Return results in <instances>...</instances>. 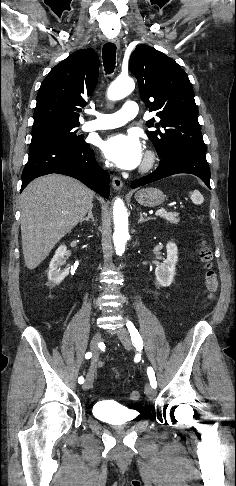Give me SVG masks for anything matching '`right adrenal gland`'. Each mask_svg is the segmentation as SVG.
<instances>
[{
    "mask_svg": "<svg viewBox=\"0 0 236 486\" xmlns=\"http://www.w3.org/2000/svg\"><path fill=\"white\" fill-rule=\"evenodd\" d=\"M92 210H93V205L90 207L89 211H88V215L86 217H84L80 222H84V221H89L90 219L95 222V218H94V215L92 213Z\"/></svg>",
    "mask_w": 236,
    "mask_h": 486,
    "instance_id": "right-adrenal-gland-1",
    "label": "right adrenal gland"
}]
</instances>
